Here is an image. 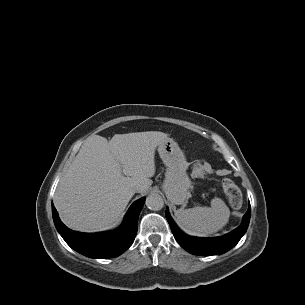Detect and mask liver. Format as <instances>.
Returning <instances> with one entry per match:
<instances>
[{"label":"liver","instance_id":"liver-1","mask_svg":"<svg viewBox=\"0 0 305 305\" xmlns=\"http://www.w3.org/2000/svg\"><path fill=\"white\" fill-rule=\"evenodd\" d=\"M168 139L159 131L90 136L59 181L54 205L62 222L81 232L114 227L134 195L155 174V150Z\"/></svg>","mask_w":305,"mask_h":305}]
</instances>
